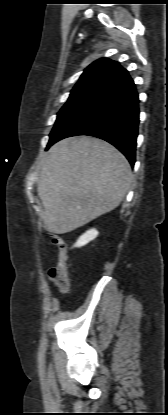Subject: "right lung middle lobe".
<instances>
[{"label": "right lung middle lobe", "mask_w": 168, "mask_h": 415, "mask_svg": "<svg viewBox=\"0 0 168 415\" xmlns=\"http://www.w3.org/2000/svg\"><path fill=\"white\" fill-rule=\"evenodd\" d=\"M99 94L100 93L96 92H80L70 94L68 101L58 112L50 138H52L74 114H76L81 108L96 98Z\"/></svg>", "instance_id": "1"}]
</instances>
